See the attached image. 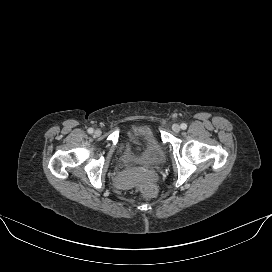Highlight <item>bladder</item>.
I'll return each mask as SVG.
<instances>
[{
	"mask_svg": "<svg viewBox=\"0 0 272 272\" xmlns=\"http://www.w3.org/2000/svg\"><path fill=\"white\" fill-rule=\"evenodd\" d=\"M133 137L144 140L143 148L139 153L134 152L130 146V140ZM115 160L116 164L122 168L135 164H160L165 160V152L151 127L143 124L134 126L127 132L125 140L116 151Z\"/></svg>",
	"mask_w": 272,
	"mask_h": 272,
	"instance_id": "bladder-1",
	"label": "bladder"
}]
</instances>
